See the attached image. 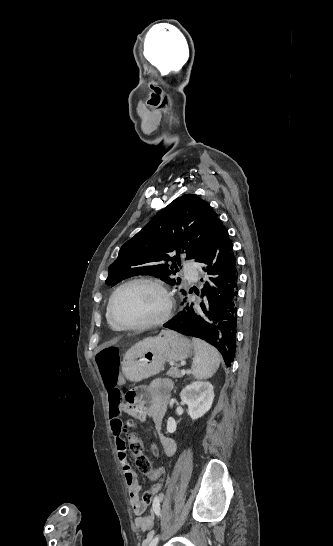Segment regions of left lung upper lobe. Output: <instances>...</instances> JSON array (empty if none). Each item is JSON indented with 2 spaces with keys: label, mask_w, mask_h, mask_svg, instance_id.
<instances>
[{
  "label": "left lung upper lobe",
  "mask_w": 333,
  "mask_h": 546,
  "mask_svg": "<svg viewBox=\"0 0 333 546\" xmlns=\"http://www.w3.org/2000/svg\"><path fill=\"white\" fill-rule=\"evenodd\" d=\"M217 220L209 204L196 195L178 197L121 247L108 268L106 284L114 286L135 275H155L171 285L179 284L171 276L180 269V254L196 261L207 248Z\"/></svg>",
  "instance_id": "obj_1"
}]
</instances>
